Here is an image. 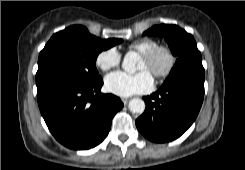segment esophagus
Masks as SVG:
<instances>
[{
  "instance_id": "1",
  "label": "esophagus",
  "mask_w": 245,
  "mask_h": 170,
  "mask_svg": "<svg viewBox=\"0 0 245 170\" xmlns=\"http://www.w3.org/2000/svg\"><path fill=\"white\" fill-rule=\"evenodd\" d=\"M122 102L124 103V105H126L129 102V99L128 98H123Z\"/></svg>"
}]
</instances>
